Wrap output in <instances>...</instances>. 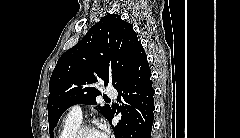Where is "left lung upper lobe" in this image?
<instances>
[{"label": "left lung upper lobe", "mask_w": 240, "mask_h": 138, "mask_svg": "<svg viewBox=\"0 0 240 138\" xmlns=\"http://www.w3.org/2000/svg\"><path fill=\"white\" fill-rule=\"evenodd\" d=\"M143 50L132 25L120 15L108 14L58 60L49 81L48 121L53 137L61 115L76 103L96 105L101 80L117 88L139 51ZM107 119L109 106L99 107Z\"/></svg>", "instance_id": "obj_1"}]
</instances>
